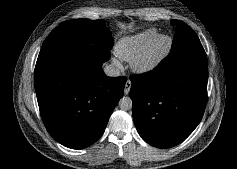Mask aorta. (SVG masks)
<instances>
[{"label": "aorta", "instance_id": "obj_1", "mask_svg": "<svg viewBox=\"0 0 237 169\" xmlns=\"http://www.w3.org/2000/svg\"><path fill=\"white\" fill-rule=\"evenodd\" d=\"M118 105L121 110H130L132 109V100L130 97L124 96L120 99Z\"/></svg>", "mask_w": 237, "mask_h": 169}]
</instances>
